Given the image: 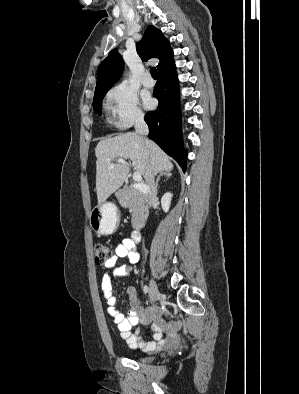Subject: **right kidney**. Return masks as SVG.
Listing matches in <instances>:
<instances>
[{"instance_id":"1","label":"right kidney","mask_w":299,"mask_h":394,"mask_svg":"<svg viewBox=\"0 0 299 394\" xmlns=\"http://www.w3.org/2000/svg\"><path fill=\"white\" fill-rule=\"evenodd\" d=\"M171 199H172V194L170 192L165 193L161 198V206L165 213L169 211Z\"/></svg>"}]
</instances>
